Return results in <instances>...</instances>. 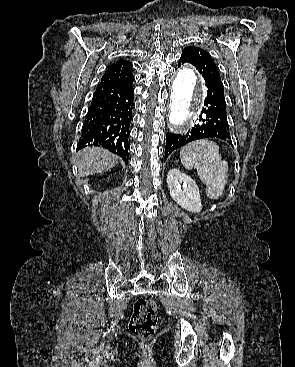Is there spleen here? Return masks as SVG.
<instances>
[{"label": "spleen", "instance_id": "spleen-1", "mask_svg": "<svg viewBox=\"0 0 295 367\" xmlns=\"http://www.w3.org/2000/svg\"><path fill=\"white\" fill-rule=\"evenodd\" d=\"M181 163L187 170L195 168L206 185V195L217 200L222 196L228 179V163L222 160L219 146L203 139L187 144L180 150Z\"/></svg>", "mask_w": 295, "mask_h": 367}]
</instances>
